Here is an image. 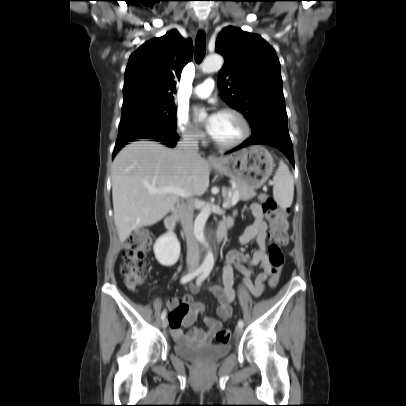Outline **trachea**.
I'll use <instances>...</instances> for the list:
<instances>
[{
	"mask_svg": "<svg viewBox=\"0 0 406 406\" xmlns=\"http://www.w3.org/2000/svg\"><path fill=\"white\" fill-rule=\"evenodd\" d=\"M206 52V37L204 31H199L195 43V60L199 64L202 62Z\"/></svg>",
	"mask_w": 406,
	"mask_h": 406,
	"instance_id": "3493384b",
	"label": "trachea"
}]
</instances>
